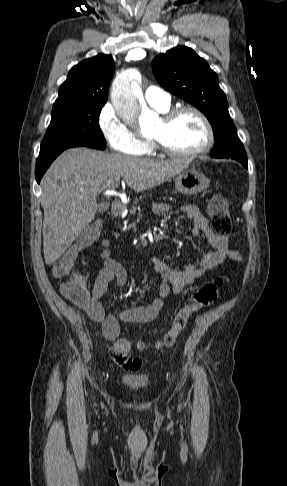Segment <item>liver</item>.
I'll return each mask as SVG.
<instances>
[{
	"label": "liver",
	"instance_id": "6515ba94",
	"mask_svg": "<svg viewBox=\"0 0 287 486\" xmlns=\"http://www.w3.org/2000/svg\"><path fill=\"white\" fill-rule=\"evenodd\" d=\"M188 159L153 160L87 148L64 151L41 180L43 250L47 265L57 261L95 218L97 196L119 182L137 192L182 172Z\"/></svg>",
	"mask_w": 287,
	"mask_h": 486
}]
</instances>
